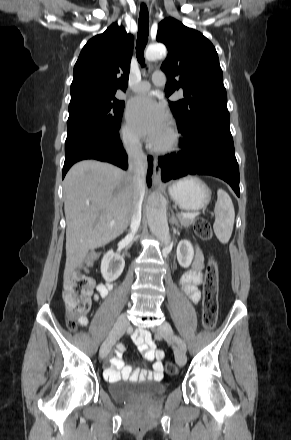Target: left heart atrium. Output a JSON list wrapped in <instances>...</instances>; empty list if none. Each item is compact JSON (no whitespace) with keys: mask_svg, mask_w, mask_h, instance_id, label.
Listing matches in <instances>:
<instances>
[{"mask_svg":"<svg viewBox=\"0 0 291 440\" xmlns=\"http://www.w3.org/2000/svg\"><path fill=\"white\" fill-rule=\"evenodd\" d=\"M127 118L136 134L152 142L158 141L169 128L165 107L148 95H140L131 100Z\"/></svg>","mask_w":291,"mask_h":440,"instance_id":"1","label":"left heart atrium"}]
</instances>
